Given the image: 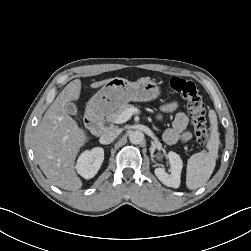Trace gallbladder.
Returning <instances> with one entry per match:
<instances>
[{
	"label": "gallbladder",
	"instance_id": "gallbladder-1",
	"mask_svg": "<svg viewBox=\"0 0 251 251\" xmlns=\"http://www.w3.org/2000/svg\"><path fill=\"white\" fill-rule=\"evenodd\" d=\"M66 110H67V112H68L70 115H73V116L77 115V108H76L75 104L72 103V102H69V103L66 105Z\"/></svg>",
	"mask_w": 251,
	"mask_h": 251
}]
</instances>
